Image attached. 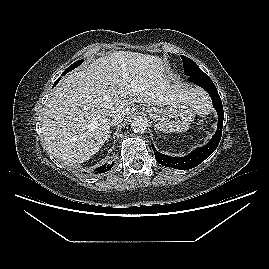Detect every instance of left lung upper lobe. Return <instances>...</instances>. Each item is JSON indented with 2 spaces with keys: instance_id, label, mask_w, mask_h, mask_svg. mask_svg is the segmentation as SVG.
Listing matches in <instances>:
<instances>
[{
  "instance_id": "obj_1",
  "label": "left lung upper lobe",
  "mask_w": 269,
  "mask_h": 269,
  "mask_svg": "<svg viewBox=\"0 0 269 269\" xmlns=\"http://www.w3.org/2000/svg\"><path fill=\"white\" fill-rule=\"evenodd\" d=\"M182 61H183V66H184V73L187 76H193V75H197L200 73H204L199 67L198 65L192 61L191 59H189L186 56L181 55Z\"/></svg>"
}]
</instances>
